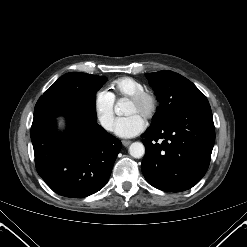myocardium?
I'll list each match as a JSON object with an SVG mask.
<instances>
[{
	"label": "myocardium",
	"instance_id": "f54148a6",
	"mask_svg": "<svg viewBox=\"0 0 247 247\" xmlns=\"http://www.w3.org/2000/svg\"><path fill=\"white\" fill-rule=\"evenodd\" d=\"M129 102L145 105L144 117L146 119H151L157 112L158 100L154 93L142 90L139 91L128 98Z\"/></svg>",
	"mask_w": 247,
	"mask_h": 247
}]
</instances>
